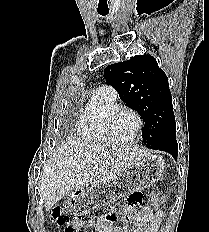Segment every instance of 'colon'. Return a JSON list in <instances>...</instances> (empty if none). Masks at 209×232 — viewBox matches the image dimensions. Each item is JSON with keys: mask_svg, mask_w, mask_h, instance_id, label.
Masks as SVG:
<instances>
[{"mask_svg": "<svg viewBox=\"0 0 209 232\" xmlns=\"http://www.w3.org/2000/svg\"><path fill=\"white\" fill-rule=\"evenodd\" d=\"M154 199L156 202H159L161 195H154ZM50 217L55 223H57V225L64 227L65 232H81V224L85 222L74 221V218H70L69 214H63V211L60 208L53 209L50 213ZM107 219L112 220L113 216H108ZM125 220H128V217H125Z\"/></svg>", "mask_w": 209, "mask_h": 232, "instance_id": "colon-1", "label": "colon"}]
</instances>
